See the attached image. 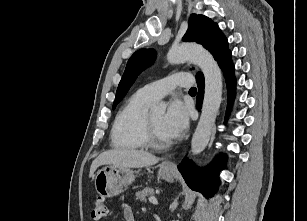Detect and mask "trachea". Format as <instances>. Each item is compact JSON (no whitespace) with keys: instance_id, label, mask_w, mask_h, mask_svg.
<instances>
[{"instance_id":"obj_1","label":"trachea","mask_w":307,"mask_h":221,"mask_svg":"<svg viewBox=\"0 0 307 221\" xmlns=\"http://www.w3.org/2000/svg\"><path fill=\"white\" fill-rule=\"evenodd\" d=\"M190 93H196L197 92V89L195 87H192L190 90H189Z\"/></svg>"}]
</instances>
